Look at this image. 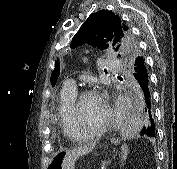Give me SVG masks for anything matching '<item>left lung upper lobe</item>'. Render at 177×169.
Wrapping results in <instances>:
<instances>
[{"label": "left lung upper lobe", "mask_w": 177, "mask_h": 169, "mask_svg": "<svg viewBox=\"0 0 177 169\" xmlns=\"http://www.w3.org/2000/svg\"><path fill=\"white\" fill-rule=\"evenodd\" d=\"M85 43L93 47L97 46L101 50L112 47L118 52V56L128 63L135 56L140 55L129 27L118 15L108 10L92 13L74 36L70 47H78ZM56 80L57 77L51 78L52 86L55 85Z\"/></svg>", "instance_id": "left-lung-upper-lobe-1"}]
</instances>
